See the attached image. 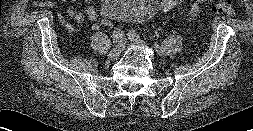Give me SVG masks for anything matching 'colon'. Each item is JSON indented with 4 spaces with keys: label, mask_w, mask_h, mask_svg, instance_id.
I'll list each match as a JSON object with an SVG mask.
<instances>
[{
    "label": "colon",
    "mask_w": 253,
    "mask_h": 131,
    "mask_svg": "<svg viewBox=\"0 0 253 131\" xmlns=\"http://www.w3.org/2000/svg\"><path fill=\"white\" fill-rule=\"evenodd\" d=\"M179 2L180 0H160V6L165 12L173 11L178 7ZM212 10L215 13H222L230 16H234L236 14V11L231 5V3L227 1H221L216 3L212 7ZM101 24L104 28L108 30H112L114 27L113 21L108 17H103L101 20Z\"/></svg>",
    "instance_id": "5ec220e1"
}]
</instances>
